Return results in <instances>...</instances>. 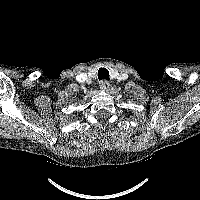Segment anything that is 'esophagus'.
<instances>
[{"instance_id": "esophagus-1", "label": "esophagus", "mask_w": 200, "mask_h": 200, "mask_svg": "<svg viewBox=\"0 0 200 200\" xmlns=\"http://www.w3.org/2000/svg\"><path fill=\"white\" fill-rule=\"evenodd\" d=\"M100 89L103 91H108L110 87V83L107 80H102L99 83Z\"/></svg>"}]
</instances>
